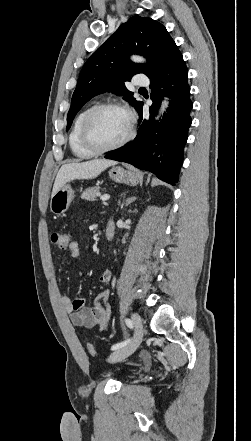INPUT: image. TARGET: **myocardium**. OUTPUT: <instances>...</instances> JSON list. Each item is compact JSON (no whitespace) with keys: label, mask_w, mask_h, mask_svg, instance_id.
<instances>
[{"label":"myocardium","mask_w":251,"mask_h":441,"mask_svg":"<svg viewBox=\"0 0 251 441\" xmlns=\"http://www.w3.org/2000/svg\"><path fill=\"white\" fill-rule=\"evenodd\" d=\"M105 109H117L120 111H123L128 118V130L126 135L119 140L118 142L105 146L100 147L95 145L89 137V124L93 116L98 113L99 111L105 110ZM134 136V117L133 114L128 110L126 107H124L121 104H118L116 102H103L96 104L92 106L84 115L81 126H80V142L83 145L84 148H86L88 151L92 152L93 154H103L106 152H110L116 149L121 148L125 144H127Z\"/></svg>","instance_id":"obj_1"}]
</instances>
